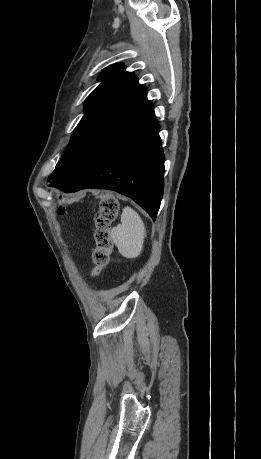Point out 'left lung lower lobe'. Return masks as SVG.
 <instances>
[{
	"mask_svg": "<svg viewBox=\"0 0 261 459\" xmlns=\"http://www.w3.org/2000/svg\"><path fill=\"white\" fill-rule=\"evenodd\" d=\"M153 105L141 108L57 188L114 190L132 198L155 221L163 195L164 154Z\"/></svg>",
	"mask_w": 261,
	"mask_h": 459,
	"instance_id": "obj_1",
	"label": "left lung lower lobe"
}]
</instances>
